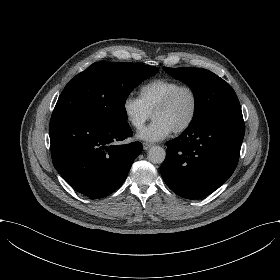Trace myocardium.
<instances>
[{"instance_id": "obj_1", "label": "myocardium", "mask_w": 280, "mask_h": 280, "mask_svg": "<svg viewBox=\"0 0 280 280\" xmlns=\"http://www.w3.org/2000/svg\"><path fill=\"white\" fill-rule=\"evenodd\" d=\"M184 90H189L193 94L194 108L190 118L184 124L174 129L176 133H182L189 130L193 126V124L195 123L198 117L199 110H200V94L196 89V87L189 84L180 85L173 92H171L163 101H161L153 111V115H154L155 113L170 107L175 101V99L177 98V96Z\"/></svg>"}]
</instances>
